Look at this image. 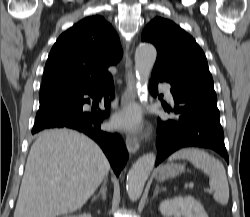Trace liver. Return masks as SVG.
Segmentation results:
<instances>
[{
  "mask_svg": "<svg viewBox=\"0 0 250 217\" xmlns=\"http://www.w3.org/2000/svg\"><path fill=\"white\" fill-rule=\"evenodd\" d=\"M110 164L88 137L46 130L31 146L14 217H56L80 209L108 175Z\"/></svg>",
  "mask_w": 250,
  "mask_h": 217,
  "instance_id": "obj_1",
  "label": "liver"
}]
</instances>
